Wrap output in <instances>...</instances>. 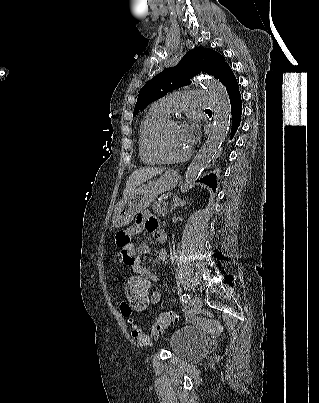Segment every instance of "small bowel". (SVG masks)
Listing matches in <instances>:
<instances>
[{"instance_id":"1","label":"small bowel","mask_w":319,"mask_h":403,"mask_svg":"<svg viewBox=\"0 0 319 403\" xmlns=\"http://www.w3.org/2000/svg\"><path fill=\"white\" fill-rule=\"evenodd\" d=\"M142 231L150 233L159 243H164L166 241V234L161 229L157 217L150 213H141L136 217L133 228L131 230L130 227L123 226L121 227V230L115 231V249L121 250L122 263H127L131 267H140L142 271L141 275H152L153 282H158V277L142 266L143 257L150 254L151 252V248L149 245L141 244L140 240L135 239V233H139ZM158 261L162 264L167 263L168 254L165 250L159 251ZM152 294L153 297L152 300H150L151 306L157 304L161 299L160 292L155 291L152 292ZM131 308H133L135 314V307L131 306Z\"/></svg>"}]
</instances>
